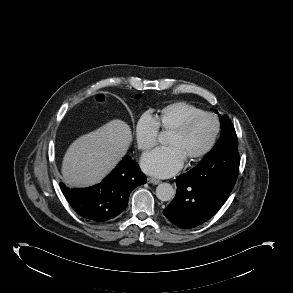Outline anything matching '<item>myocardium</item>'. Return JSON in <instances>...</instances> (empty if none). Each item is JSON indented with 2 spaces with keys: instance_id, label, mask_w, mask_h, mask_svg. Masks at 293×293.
<instances>
[{
  "instance_id": "myocardium-1",
  "label": "myocardium",
  "mask_w": 293,
  "mask_h": 293,
  "mask_svg": "<svg viewBox=\"0 0 293 293\" xmlns=\"http://www.w3.org/2000/svg\"><path fill=\"white\" fill-rule=\"evenodd\" d=\"M202 117H209L213 120L214 132L209 143L206 145V147L202 149L199 153L194 155L193 157L187 159L189 163H196L200 161L206 155H208L212 151L214 146L216 145V142L218 140V137L221 131V123L218 116L212 112L202 111L200 113H197L189 117L183 124H181L179 127L171 131L172 134H176L179 136L185 135L192 128V126Z\"/></svg>"
}]
</instances>
